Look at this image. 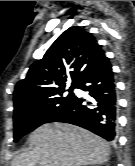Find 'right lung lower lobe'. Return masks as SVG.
Here are the masks:
<instances>
[{
	"label": "right lung lower lobe",
	"instance_id": "obj_1",
	"mask_svg": "<svg viewBox=\"0 0 135 166\" xmlns=\"http://www.w3.org/2000/svg\"><path fill=\"white\" fill-rule=\"evenodd\" d=\"M75 88L88 91L92 102L75 96L72 104L52 122H66L81 126L112 141L116 136L117 96L112 66L105 60L84 75Z\"/></svg>",
	"mask_w": 135,
	"mask_h": 166
}]
</instances>
